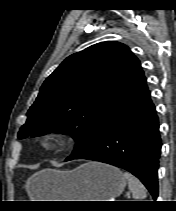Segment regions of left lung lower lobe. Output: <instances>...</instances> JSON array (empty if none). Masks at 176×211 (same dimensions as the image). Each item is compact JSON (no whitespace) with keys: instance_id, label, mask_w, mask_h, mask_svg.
<instances>
[{"instance_id":"0a47b994","label":"left lung lower lobe","mask_w":176,"mask_h":211,"mask_svg":"<svg viewBox=\"0 0 176 211\" xmlns=\"http://www.w3.org/2000/svg\"><path fill=\"white\" fill-rule=\"evenodd\" d=\"M160 149L159 121L147 89L111 114L90 145L72 159L123 168L139 178L156 199Z\"/></svg>"}]
</instances>
